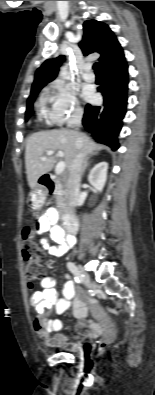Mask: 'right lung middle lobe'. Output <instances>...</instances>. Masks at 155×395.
I'll use <instances>...</instances> for the list:
<instances>
[{
	"label": "right lung middle lobe",
	"instance_id": "dd1d6c3e",
	"mask_svg": "<svg viewBox=\"0 0 155 395\" xmlns=\"http://www.w3.org/2000/svg\"><path fill=\"white\" fill-rule=\"evenodd\" d=\"M37 94H38V92L35 93L34 95H32L27 101V111H26V117L27 118L32 115L33 102H34L35 96Z\"/></svg>",
	"mask_w": 155,
	"mask_h": 395
}]
</instances>
